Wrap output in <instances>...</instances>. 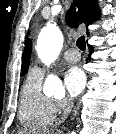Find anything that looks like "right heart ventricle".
I'll use <instances>...</instances> for the list:
<instances>
[{"mask_svg":"<svg viewBox=\"0 0 116 134\" xmlns=\"http://www.w3.org/2000/svg\"><path fill=\"white\" fill-rule=\"evenodd\" d=\"M42 79L43 73L32 68L21 90L19 119L26 128H45L56 116L53 100L42 91Z\"/></svg>","mask_w":116,"mask_h":134,"instance_id":"1","label":"right heart ventricle"}]
</instances>
